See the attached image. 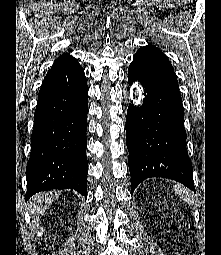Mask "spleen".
Here are the masks:
<instances>
[{
    "label": "spleen",
    "instance_id": "1",
    "mask_svg": "<svg viewBox=\"0 0 221 255\" xmlns=\"http://www.w3.org/2000/svg\"><path fill=\"white\" fill-rule=\"evenodd\" d=\"M174 190L178 195H180V197L182 198L184 202L188 204H193L194 202L193 195L190 193V191L187 188L181 187L179 184H175Z\"/></svg>",
    "mask_w": 221,
    "mask_h": 255
}]
</instances>
